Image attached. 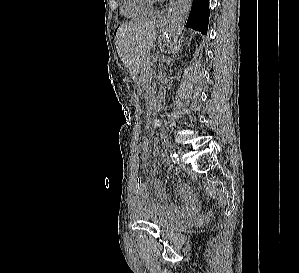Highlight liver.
I'll use <instances>...</instances> for the list:
<instances>
[{"instance_id":"liver-1","label":"liver","mask_w":299,"mask_h":273,"mask_svg":"<svg viewBox=\"0 0 299 273\" xmlns=\"http://www.w3.org/2000/svg\"><path fill=\"white\" fill-rule=\"evenodd\" d=\"M156 41V21L128 22L122 24L115 37V45L123 64L133 79Z\"/></svg>"}]
</instances>
